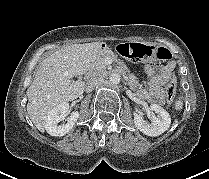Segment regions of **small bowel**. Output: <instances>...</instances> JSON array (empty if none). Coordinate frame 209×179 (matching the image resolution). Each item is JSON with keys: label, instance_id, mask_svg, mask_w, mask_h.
Masks as SVG:
<instances>
[{"label": "small bowel", "instance_id": "obj_1", "mask_svg": "<svg viewBox=\"0 0 209 179\" xmlns=\"http://www.w3.org/2000/svg\"><path fill=\"white\" fill-rule=\"evenodd\" d=\"M174 69L173 64L147 65L145 73L148 76V83L145 89L139 91L141 99L148 100L155 104H162L166 101L163 86L168 82Z\"/></svg>", "mask_w": 209, "mask_h": 179}]
</instances>
